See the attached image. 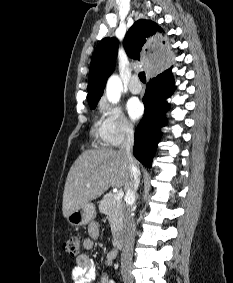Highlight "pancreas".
<instances>
[{
	"mask_svg": "<svg viewBox=\"0 0 233 283\" xmlns=\"http://www.w3.org/2000/svg\"><path fill=\"white\" fill-rule=\"evenodd\" d=\"M112 192L106 194L99 203L101 213L108 216L111 231L116 234L120 231L123 222V202L115 200Z\"/></svg>",
	"mask_w": 233,
	"mask_h": 283,
	"instance_id": "cf45deb5",
	"label": "pancreas"
}]
</instances>
